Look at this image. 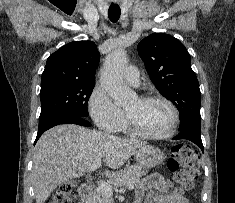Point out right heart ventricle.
<instances>
[{
    "label": "right heart ventricle",
    "mask_w": 235,
    "mask_h": 203,
    "mask_svg": "<svg viewBox=\"0 0 235 203\" xmlns=\"http://www.w3.org/2000/svg\"><path fill=\"white\" fill-rule=\"evenodd\" d=\"M121 129H122L123 131H125V132L127 131V128H126V126H125L124 124L122 125Z\"/></svg>",
    "instance_id": "1"
}]
</instances>
